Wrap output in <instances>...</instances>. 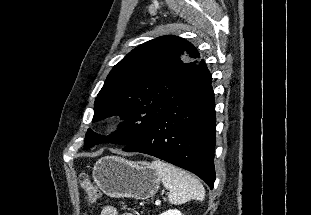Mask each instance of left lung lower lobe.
<instances>
[{
  "label": "left lung lower lobe",
  "mask_w": 311,
  "mask_h": 215,
  "mask_svg": "<svg viewBox=\"0 0 311 215\" xmlns=\"http://www.w3.org/2000/svg\"><path fill=\"white\" fill-rule=\"evenodd\" d=\"M215 122L211 73L202 60L185 86L123 150L165 160L196 174L213 188Z\"/></svg>",
  "instance_id": "obj_1"
}]
</instances>
